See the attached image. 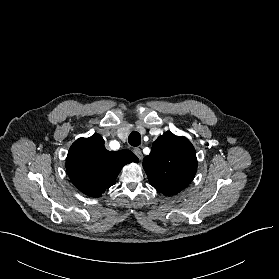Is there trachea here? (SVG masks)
Wrapping results in <instances>:
<instances>
[{"label": "trachea", "mask_w": 279, "mask_h": 279, "mask_svg": "<svg viewBox=\"0 0 279 279\" xmlns=\"http://www.w3.org/2000/svg\"><path fill=\"white\" fill-rule=\"evenodd\" d=\"M128 142L131 146L137 147L141 144V136L137 131L130 133Z\"/></svg>", "instance_id": "obj_1"}]
</instances>
